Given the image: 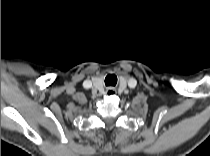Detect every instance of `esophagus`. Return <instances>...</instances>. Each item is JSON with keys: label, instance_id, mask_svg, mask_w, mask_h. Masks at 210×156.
Returning <instances> with one entry per match:
<instances>
[{"label": "esophagus", "instance_id": "34e87169", "mask_svg": "<svg viewBox=\"0 0 210 156\" xmlns=\"http://www.w3.org/2000/svg\"><path fill=\"white\" fill-rule=\"evenodd\" d=\"M116 94V89L113 87H108L106 88V95L113 96Z\"/></svg>", "mask_w": 210, "mask_h": 156}]
</instances>
